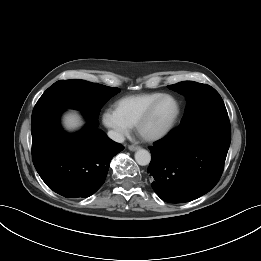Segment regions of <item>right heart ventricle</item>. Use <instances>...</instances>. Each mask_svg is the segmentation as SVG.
<instances>
[{
  "mask_svg": "<svg viewBox=\"0 0 261 261\" xmlns=\"http://www.w3.org/2000/svg\"><path fill=\"white\" fill-rule=\"evenodd\" d=\"M160 95L162 93L150 92L125 96L114 103V109L133 127L149 105Z\"/></svg>",
  "mask_w": 261,
  "mask_h": 261,
  "instance_id": "e07e8e85",
  "label": "right heart ventricle"
}]
</instances>
